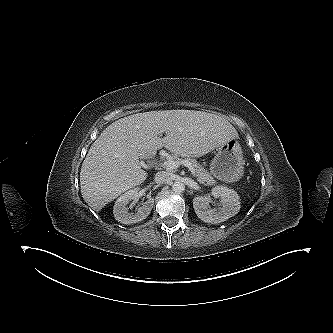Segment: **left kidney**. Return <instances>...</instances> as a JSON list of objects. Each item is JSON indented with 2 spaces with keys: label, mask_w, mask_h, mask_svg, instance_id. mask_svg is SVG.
Wrapping results in <instances>:
<instances>
[{
  "label": "left kidney",
  "mask_w": 333,
  "mask_h": 333,
  "mask_svg": "<svg viewBox=\"0 0 333 333\" xmlns=\"http://www.w3.org/2000/svg\"><path fill=\"white\" fill-rule=\"evenodd\" d=\"M211 196L220 198V207L211 208L210 194L198 196L193 199V207L199 219L206 223L217 224L235 216L240 210L239 196L236 191L223 186H216Z\"/></svg>",
  "instance_id": "obj_1"
}]
</instances>
